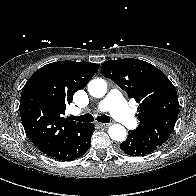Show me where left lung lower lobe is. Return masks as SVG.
I'll return each mask as SVG.
<instances>
[{"label": "left lung lower lobe", "instance_id": "left-lung-lower-lobe-1", "mask_svg": "<svg viewBox=\"0 0 196 196\" xmlns=\"http://www.w3.org/2000/svg\"><path fill=\"white\" fill-rule=\"evenodd\" d=\"M159 146L144 141L133 131L128 132L127 139L120 144V149L130 156H145L155 151Z\"/></svg>", "mask_w": 196, "mask_h": 196}]
</instances>
